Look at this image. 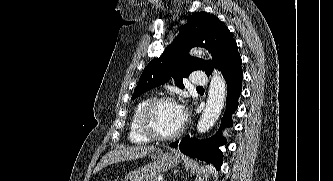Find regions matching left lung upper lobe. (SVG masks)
<instances>
[{
    "label": "left lung upper lobe",
    "instance_id": "5c2ea615",
    "mask_svg": "<svg viewBox=\"0 0 333 181\" xmlns=\"http://www.w3.org/2000/svg\"><path fill=\"white\" fill-rule=\"evenodd\" d=\"M236 45L228 28L217 17L206 12L193 14L182 26L175 41L144 68L132 99L167 82L172 76L176 85L184 88L183 77H188L194 70H202L209 75ZM194 46L205 47L213 55V60L190 57L187 52Z\"/></svg>",
    "mask_w": 333,
    "mask_h": 181
}]
</instances>
